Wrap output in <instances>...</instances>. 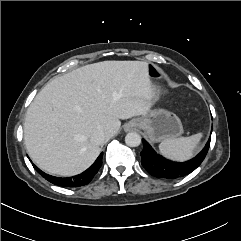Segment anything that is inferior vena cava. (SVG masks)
<instances>
[{"mask_svg":"<svg viewBox=\"0 0 241 241\" xmlns=\"http://www.w3.org/2000/svg\"><path fill=\"white\" fill-rule=\"evenodd\" d=\"M105 139H106V136L103 131H96L90 137L91 142L96 145H102Z\"/></svg>","mask_w":241,"mask_h":241,"instance_id":"obj_1","label":"inferior vena cava"}]
</instances>
